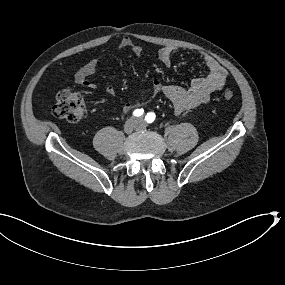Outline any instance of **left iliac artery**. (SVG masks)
Wrapping results in <instances>:
<instances>
[{"label": "left iliac artery", "mask_w": 285, "mask_h": 285, "mask_svg": "<svg viewBox=\"0 0 285 285\" xmlns=\"http://www.w3.org/2000/svg\"><path fill=\"white\" fill-rule=\"evenodd\" d=\"M155 113L150 112L147 113V115L145 116V120L147 121V123H152L155 120Z\"/></svg>", "instance_id": "1"}]
</instances>
